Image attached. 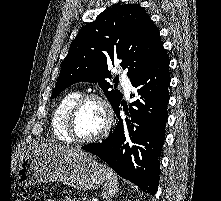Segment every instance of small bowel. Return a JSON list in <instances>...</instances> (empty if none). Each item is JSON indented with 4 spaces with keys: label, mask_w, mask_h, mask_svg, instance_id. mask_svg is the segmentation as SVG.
<instances>
[{
    "label": "small bowel",
    "mask_w": 221,
    "mask_h": 201,
    "mask_svg": "<svg viewBox=\"0 0 221 201\" xmlns=\"http://www.w3.org/2000/svg\"><path fill=\"white\" fill-rule=\"evenodd\" d=\"M46 201H53V200H51V199H48V200H46Z\"/></svg>",
    "instance_id": "1"
}]
</instances>
